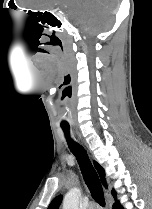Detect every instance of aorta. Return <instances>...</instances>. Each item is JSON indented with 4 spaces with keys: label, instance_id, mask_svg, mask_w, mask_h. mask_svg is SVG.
Segmentation results:
<instances>
[{
    "label": "aorta",
    "instance_id": "762f6f07",
    "mask_svg": "<svg viewBox=\"0 0 152 209\" xmlns=\"http://www.w3.org/2000/svg\"><path fill=\"white\" fill-rule=\"evenodd\" d=\"M80 190L72 188L63 199V209H79Z\"/></svg>",
    "mask_w": 152,
    "mask_h": 209
}]
</instances>
